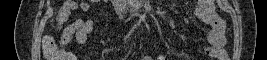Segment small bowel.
I'll list each match as a JSON object with an SVG mask.
<instances>
[{
	"instance_id": "1",
	"label": "small bowel",
	"mask_w": 267,
	"mask_h": 60,
	"mask_svg": "<svg viewBox=\"0 0 267 60\" xmlns=\"http://www.w3.org/2000/svg\"><path fill=\"white\" fill-rule=\"evenodd\" d=\"M95 0H89L77 4L76 2H67L61 8V16L58 21L55 22L59 25L67 17V15L77 9L82 11H88L94 4ZM195 17L201 20L207 25L205 34L208 44L204 46L203 51L205 55L214 58L216 60H227V53L224 49L225 46V21L215 11V2L213 0H200L198 1V7L194 13ZM93 23L91 20L77 19L74 23L65 27L61 35L62 45H68L73 39L79 45H84L87 42L89 34L92 32ZM165 60L164 56H158L153 58L146 55L142 60Z\"/></svg>"
}]
</instances>
